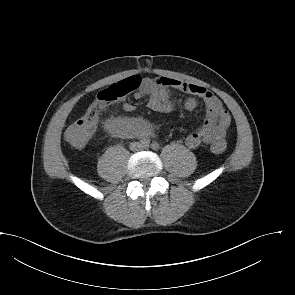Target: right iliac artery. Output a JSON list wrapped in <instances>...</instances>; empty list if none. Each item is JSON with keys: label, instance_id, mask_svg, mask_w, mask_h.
<instances>
[{"label": "right iliac artery", "instance_id": "1", "mask_svg": "<svg viewBox=\"0 0 295 295\" xmlns=\"http://www.w3.org/2000/svg\"><path fill=\"white\" fill-rule=\"evenodd\" d=\"M141 143L143 145L148 146L150 144V139L149 138H143V139H141Z\"/></svg>", "mask_w": 295, "mask_h": 295}]
</instances>
